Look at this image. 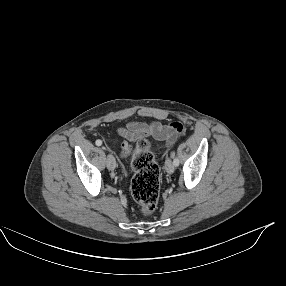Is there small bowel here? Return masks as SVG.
<instances>
[{
	"label": "small bowel",
	"instance_id": "c3829d8e",
	"mask_svg": "<svg viewBox=\"0 0 286 286\" xmlns=\"http://www.w3.org/2000/svg\"><path fill=\"white\" fill-rule=\"evenodd\" d=\"M182 132L183 126L178 121L170 125H163L158 121L150 123L136 122L121 130V133L128 138L152 134L157 140L165 141L168 146L174 145Z\"/></svg>",
	"mask_w": 286,
	"mask_h": 286
}]
</instances>
